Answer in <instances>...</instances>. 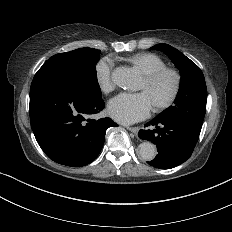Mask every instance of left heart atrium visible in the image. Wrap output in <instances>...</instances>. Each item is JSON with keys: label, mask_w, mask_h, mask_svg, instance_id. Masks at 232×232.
Returning a JSON list of instances; mask_svg holds the SVG:
<instances>
[{"label": "left heart atrium", "mask_w": 232, "mask_h": 232, "mask_svg": "<svg viewBox=\"0 0 232 232\" xmlns=\"http://www.w3.org/2000/svg\"><path fill=\"white\" fill-rule=\"evenodd\" d=\"M155 106L147 92L122 93L111 99L107 105L110 117L123 124H132L147 118Z\"/></svg>", "instance_id": "39dd6f15"}]
</instances>
